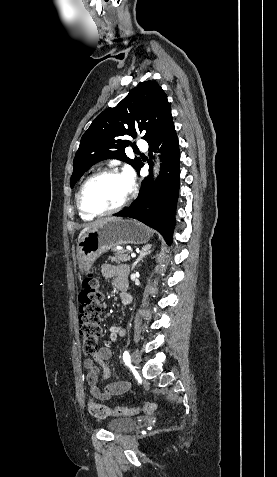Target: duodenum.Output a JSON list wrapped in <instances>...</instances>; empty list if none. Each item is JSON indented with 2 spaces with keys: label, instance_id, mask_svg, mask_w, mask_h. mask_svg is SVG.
<instances>
[{
  "label": "duodenum",
  "instance_id": "duodenum-1",
  "mask_svg": "<svg viewBox=\"0 0 277 477\" xmlns=\"http://www.w3.org/2000/svg\"><path fill=\"white\" fill-rule=\"evenodd\" d=\"M122 302H123L124 304H130V303H131V298H130L128 295H124V296L122 297Z\"/></svg>",
  "mask_w": 277,
  "mask_h": 477
}]
</instances>
